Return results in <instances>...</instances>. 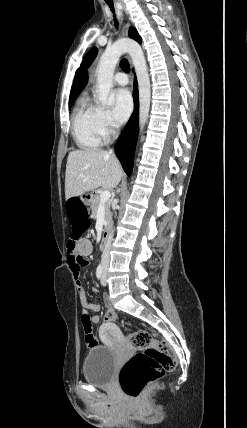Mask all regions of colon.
I'll list each match as a JSON object with an SVG mask.
<instances>
[{
    "instance_id": "obj_1",
    "label": "colon",
    "mask_w": 247,
    "mask_h": 428,
    "mask_svg": "<svg viewBox=\"0 0 247 428\" xmlns=\"http://www.w3.org/2000/svg\"><path fill=\"white\" fill-rule=\"evenodd\" d=\"M65 215L67 217L66 228L72 238L67 243L68 253L76 254L78 239H87L92 230V219L87 217L88 207L84 204L80 194H69L64 199ZM80 266L87 261L78 258ZM104 323L113 325L117 320V313L106 309L103 312ZM85 342L88 346L97 345V339L92 331V322L88 317H82ZM129 344L139 350L123 366L119 382L124 394L130 398L140 395L143 388L166 372L177 366V357L171 346L163 340L154 339L147 330H138L129 336Z\"/></svg>"
}]
</instances>
